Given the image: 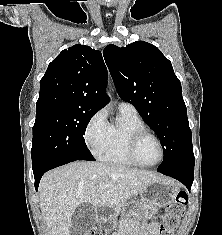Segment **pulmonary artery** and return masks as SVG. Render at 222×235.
Segmentation results:
<instances>
[{"label": "pulmonary artery", "instance_id": "pulmonary-artery-1", "mask_svg": "<svg viewBox=\"0 0 222 235\" xmlns=\"http://www.w3.org/2000/svg\"><path fill=\"white\" fill-rule=\"evenodd\" d=\"M118 107L120 110L129 111V112H137L135 107L132 104L125 102V101H120L118 103Z\"/></svg>", "mask_w": 222, "mask_h": 235}]
</instances>
